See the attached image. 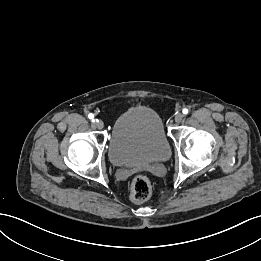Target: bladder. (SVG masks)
I'll return each instance as SVG.
<instances>
[{
  "instance_id": "1",
  "label": "bladder",
  "mask_w": 261,
  "mask_h": 261,
  "mask_svg": "<svg viewBox=\"0 0 261 261\" xmlns=\"http://www.w3.org/2000/svg\"><path fill=\"white\" fill-rule=\"evenodd\" d=\"M171 155V145L159 114L134 106L113 123L108 143L110 162L118 167L160 162Z\"/></svg>"
}]
</instances>
